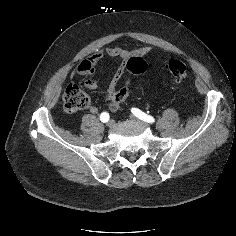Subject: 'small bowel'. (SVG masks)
Returning a JSON list of instances; mask_svg holds the SVG:
<instances>
[{"instance_id": "1", "label": "small bowel", "mask_w": 236, "mask_h": 236, "mask_svg": "<svg viewBox=\"0 0 236 236\" xmlns=\"http://www.w3.org/2000/svg\"><path fill=\"white\" fill-rule=\"evenodd\" d=\"M151 53L149 47H141L135 50H128L121 48L119 46H109L105 49L96 51L89 59L83 60L80 62L71 72V76L82 75L86 76L84 85L86 88L94 90L97 87V83L94 79L96 74V66L104 55H107L111 58L120 60V65L113 74L109 86L105 92V100L110 101L113 95L116 93V88L121 80L123 74L125 73L127 62L131 57H145ZM90 112L96 114L98 108L95 105L90 106Z\"/></svg>"}]
</instances>
